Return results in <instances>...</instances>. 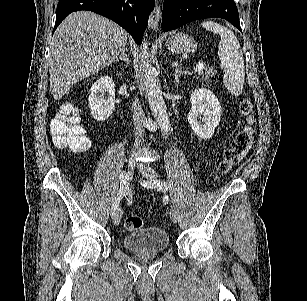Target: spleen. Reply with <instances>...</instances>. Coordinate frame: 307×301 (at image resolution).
I'll return each instance as SVG.
<instances>
[{
	"mask_svg": "<svg viewBox=\"0 0 307 301\" xmlns=\"http://www.w3.org/2000/svg\"><path fill=\"white\" fill-rule=\"evenodd\" d=\"M202 26L206 30L220 34L218 46V56L221 60V68L224 70L223 84L233 96H239L244 86L245 68L244 58L237 36L233 30L213 22V20H206L202 22Z\"/></svg>",
	"mask_w": 307,
	"mask_h": 301,
	"instance_id": "3e777b00",
	"label": "spleen"
}]
</instances>
